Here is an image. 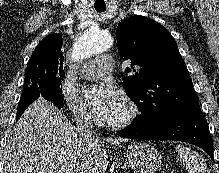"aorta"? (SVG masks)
Here are the masks:
<instances>
[{"label":"aorta","instance_id":"1","mask_svg":"<svg viewBox=\"0 0 219 173\" xmlns=\"http://www.w3.org/2000/svg\"><path fill=\"white\" fill-rule=\"evenodd\" d=\"M114 44L113 38L101 29H89L76 41L71 60L81 61L95 54L109 50Z\"/></svg>","mask_w":219,"mask_h":173}]
</instances>
